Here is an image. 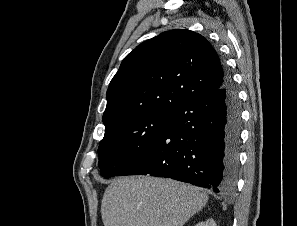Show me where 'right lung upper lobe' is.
Returning a JSON list of instances; mask_svg holds the SVG:
<instances>
[{
  "mask_svg": "<svg viewBox=\"0 0 297 226\" xmlns=\"http://www.w3.org/2000/svg\"><path fill=\"white\" fill-rule=\"evenodd\" d=\"M226 73L202 35L170 30L138 45L121 63L107 90L105 127L128 117L174 111L181 103L224 84Z\"/></svg>",
  "mask_w": 297,
  "mask_h": 226,
  "instance_id": "1",
  "label": "right lung upper lobe"
}]
</instances>
